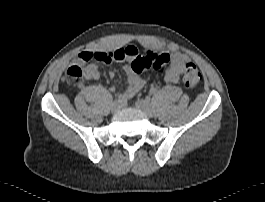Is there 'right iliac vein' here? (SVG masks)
I'll return each instance as SVG.
<instances>
[{"instance_id": "1", "label": "right iliac vein", "mask_w": 265, "mask_h": 202, "mask_svg": "<svg viewBox=\"0 0 265 202\" xmlns=\"http://www.w3.org/2000/svg\"><path fill=\"white\" fill-rule=\"evenodd\" d=\"M119 109H120V104L117 101L113 102L111 106V112L116 113L119 111Z\"/></svg>"}]
</instances>
